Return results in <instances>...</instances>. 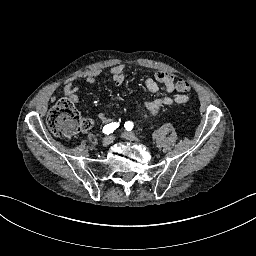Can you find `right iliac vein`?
Returning <instances> with one entry per match:
<instances>
[{"instance_id": "right-iliac-vein-1", "label": "right iliac vein", "mask_w": 256, "mask_h": 256, "mask_svg": "<svg viewBox=\"0 0 256 256\" xmlns=\"http://www.w3.org/2000/svg\"><path fill=\"white\" fill-rule=\"evenodd\" d=\"M114 140V137L113 136H107L105 137L103 140H102V145L103 146H109Z\"/></svg>"}]
</instances>
